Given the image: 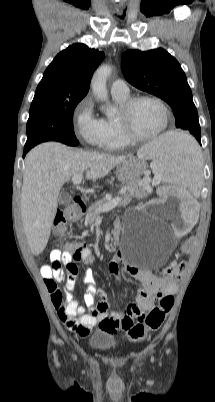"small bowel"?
Segmentation results:
<instances>
[{"label": "small bowel", "instance_id": "obj_1", "mask_svg": "<svg viewBox=\"0 0 215 402\" xmlns=\"http://www.w3.org/2000/svg\"><path fill=\"white\" fill-rule=\"evenodd\" d=\"M78 251L80 258L75 260L74 255ZM51 256L53 259L65 263L81 261L85 265H90L95 261V256L90 248L79 244L76 250H54ZM118 263L119 257H114L109 263V270L115 275L119 271ZM129 271L142 284V287L134 304L129 305L123 311L112 312L108 309L106 292L98 288L90 271L85 273L88 291L84 295V304H79L72 294L77 282L78 270L76 265L74 270H67V273L62 267L53 268L44 265L41 268V275L44 279H53L55 282L64 283L65 304L58 310L59 319L66 325L67 329L85 337L91 333L92 328L96 325L110 333H115L118 330L128 331L135 324V321H140L153 308L156 299L172 296L180 281L179 274L156 276L135 266H130ZM96 297L100 298L97 304L95 303Z\"/></svg>", "mask_w": 215, "mask_h": 402}]
</instances>
